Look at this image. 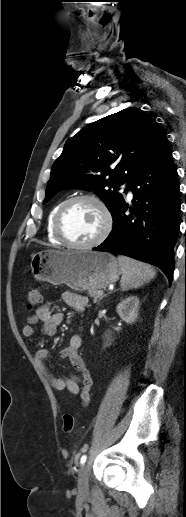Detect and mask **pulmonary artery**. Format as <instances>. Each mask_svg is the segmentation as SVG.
I'll return each instance as SVG.
<instances>
[{
    "label": "pulmonary artery",
    "mask_w": 186,
    "mask_h": 517,
    "mask_svg": "<svg viewBox=\"0 0 186 517\" xmlns=\"http://www.w3.org/2000/svg\"><path fill=\"white\" fill-rule=\"evenodd\" d=\"M127 197H128V199H132L133 198V193H132L131 190H128Z\"/></svg>",
    "instance_id": "e3ab8cb5"
}]
</instances>
